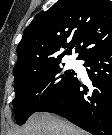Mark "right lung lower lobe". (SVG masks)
<instances>
[{
	"mask_svg": "<svg viewBox=\"0 0 112 135\" xmlns=\"http://www.w3.org/2000/svg\"><path fill=\"white\" fill-rule=\"evenodd\" d=\"M92 85L77 77L38 111L56 113L93 135H112V46L83 57Z\"/></svg>",
	"mask_w": 112,
	"mask_h": 135,
	"instance_id": "right-lung-lower-lobe-1",
	"label": "right lung lower lobe"
}]
</instances>
